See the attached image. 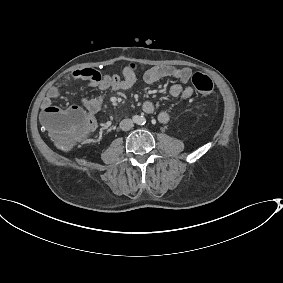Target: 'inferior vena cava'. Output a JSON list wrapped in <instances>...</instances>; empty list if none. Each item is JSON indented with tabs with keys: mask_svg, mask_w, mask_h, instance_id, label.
Here are the masks:
<instances>
[{
	"mask_svg": "<svg viewBox=\"0 0 283 283\" xmlns=\"http://www.w3.org/2000/svg\"><path fill=\"white\" fill-rule=\"evenodd\" d=\"M132 127H133V121H132L131 119H123V120L120 122V128H121L123 131H128V130H130Z\"/></svg>",
	"mask_w": 283,
	"mask_h": 283,
	"instance_id": "inferior-vena-cava-1",
	"label": "inferior vena cava"
}]
</instances>
